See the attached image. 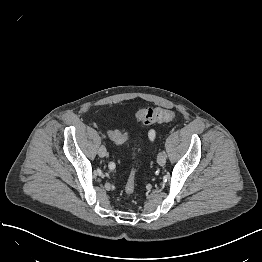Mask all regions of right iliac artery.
Returning <instances> with one entry per match:
<instances>
[{
    "instance_id": "1",
    "label": "right iliac artery",
    "mask_w": 262,
    "mask_h": 262,
    "mask_svg": "<svg viewBox=\"0 0 262 262\" xmlns=\"http://www.w3.org/2000/svg\"><path fill=\"white\" fill-rule=\"evenodd\" d=\"M109 167H115V164H114L113 162H111V163L109 164Z\"/></svg>"
}]
</instances>
